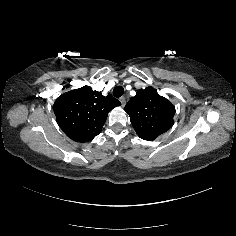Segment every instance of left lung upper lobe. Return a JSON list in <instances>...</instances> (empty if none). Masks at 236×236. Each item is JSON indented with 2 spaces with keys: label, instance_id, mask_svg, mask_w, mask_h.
<instances>
[{
  "label": "left lung upper lobe",
  "instance_id": "obj_1",
  "mask_svg": "<svg viewBox=\"0 0 236 236\" xmlns=\"http://www.w3.org/2000/svg\"><path fill=\"white\" fill-rule=\"evenodd\" d=\"M124 110L129 114L138 136L148 141L168 131L175 114L173 104L160 96L152 87L138 90Z\"/></svg>",
  "mask_w": 236,
  "mask_h": 236
}]
</instances>
